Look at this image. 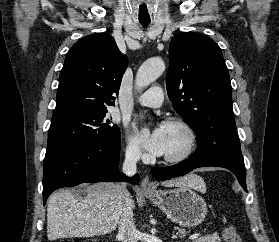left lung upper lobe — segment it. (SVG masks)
I'll return each instance as SVG.
<instances>
[{
    "instance_id": "1",
    "label": "left lung upper lobe",
    "mask_w": 279,
    "mask_h": 242,
    "mask_svg": "<svg viewBox=\"0 0 279 242\" xmlns=\"http://www.w3.org/2000/svg\"><path fill=\"white\" fill-rule=\"evenodd\" d=\"M169 99L198 137L190 158L244 165L232 109V87L220 47L209 37L181 32L169 48Z\"/></svg>"
}]
</instances>
